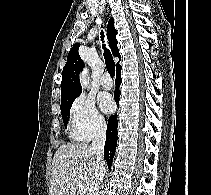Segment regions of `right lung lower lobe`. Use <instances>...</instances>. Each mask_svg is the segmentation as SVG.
<instances>
[{"instance_id": "right-lung-lower-lobe-1", "label": "right lung lower lobe", "mask_w": 211, "mask_h": 195, "mask_svg": "<svg viewBox=\"0 0 211 195\" xmlns=\"http://www.w3.org/2000/svg\"><path fill=\"white\" fill-rule=\"evenodd\" d=\"M121 67L116 71V90L114 92V99L116 103L119 102V85L121 83ZM117 126H118V117L117 114L109 117L108 125H107V134H106V142L104 147V158L107 161L108 168H111L112 160L115 154V149L117 146Z\"/></svg>"}]
</instances>
